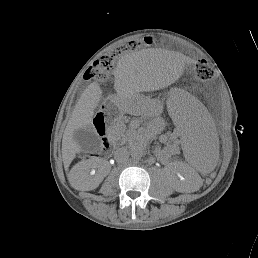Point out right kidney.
Listing matches in <instances>:
<instances>
[{
  "label": "right kidney",
  "mask_w": 258,
  "mask_h": 258,
  "mask_svg": "<svg viewBox=\"0 0 258 258\" xmlns=\"http://www.w3.org/2000/svg\"><path fill=\"white\" fill-rule=\"evenodd\" d=\"M102 165V161L100 160V159H96L94 162H93V164H92V168H99L100 166ZM84 171H85V173L87 174V175H89V171H88V169H84ZM79 172H78V170H75L74 171V175H75V177L76 178H79V176L77 175ZM98 185H99V182H96L95 184H93L92 186H91V190L92 189H95V188H97L98 187Z\"/></svg>",
  "instance_id": "ca27d5eb"
}]
</instances>
